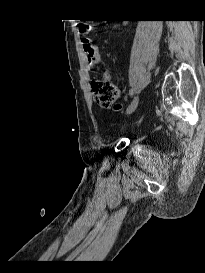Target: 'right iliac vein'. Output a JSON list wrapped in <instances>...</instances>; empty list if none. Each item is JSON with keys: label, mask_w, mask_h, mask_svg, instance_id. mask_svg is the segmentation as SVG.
<instances>
[{"label": "right iliac vein", "mask_w": 205, "mask_h": 273, "mask_svg": "<svg viewBox=\"0 0 205 273\" xmlns=\"http://www.w3.org/2000/svg\"><path fill=\"white\" fill-rule=\"evenodd\" d=\"M139 103V97L136 96L127 109V114H131L135 111Z\"/></svg>", "instance_id": "right-iliac-vein-1"}]
</instances>
